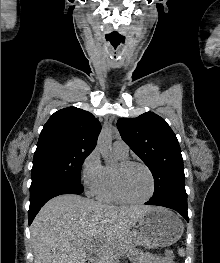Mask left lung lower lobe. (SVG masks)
<instances>
[{
    "mask_svg": "<svg viewBox=\"0 0 220 263\" xmlns=\"http://www.w3.org/2000/svg\"><path fill=\"white\" fill-rule=\"evenodd\" d=\"M145 204L146 205H157V206H163V207L171 208V209L177 211L178 213H180L187 220V222L189 221L188 212H187V205H181V204H177V203L170 202V201H154V200H150V201L146 202Z\"/></svg>",
    "mask_w": 220,
    "mask_h": 263,
    "instance_id": "1",
    "label": "left lung lower lobe"
}]
</instances>
